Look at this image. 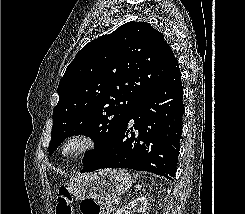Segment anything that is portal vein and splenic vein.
<instances>
[{"instance_id": "1", "label": "portal vein and splenic vein", "mask_w": 245, "mask_h": 214, "mask_svg": "<svg viewBox=\"0 0 245 214\" xmlns=\"http://www.w3.org/2000/svg\"><path fill=\"white\" fill-rule=\"evenodd\" d=\"M120 201L119 200H116L115 201V205H119Z\"/></svg>"}]
</instances>
